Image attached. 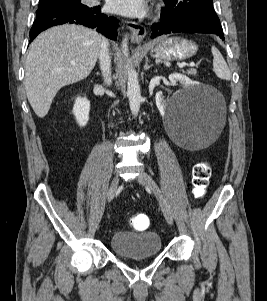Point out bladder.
<instances>
[{"mask_svg":"<svg viewBox=\"0 0 267 301\" xmlns=\"http://www.w3.org/2000/svg\"><path fill=\"white\" fill-rule=\"evenodd\" d=\"M109 243L114 254L122 259L153 257L162 250L161 237L153 231L116 232L110 237Z\"/></svg>","mask_w":267,"mask_h":301,"instance_id":"1","label":"bladder"}]
</instances>
